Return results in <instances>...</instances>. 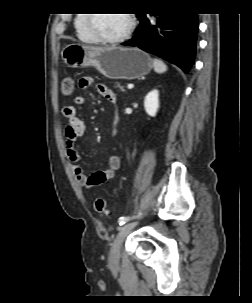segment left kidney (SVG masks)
<instances>
[{
  "label": "left kidney",
  "mask_w": 252,
  "mask_h": 303,
  "mask_svg": "<svg viewBox=\"0 0 252 303\" xmlns=\"http://www.w3.org/2000/svg\"><path fill=\"white\" fill-rule=\"evenodd\" d=\"M144 108L146 113L155 117L159 108V92L158 90L150 91L144 99Z\"/></svg>",
  "instance_id": "left-kidney-1"
}]
</instances>
